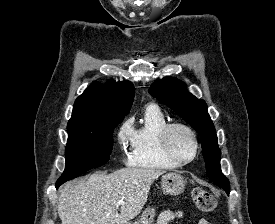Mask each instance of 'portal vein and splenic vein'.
<instances>
[{"mask_svg":"<svg viewBox=\"0 0 275 224\" xmlns=\"http://www.w3.org/2000/svg\"><path fill=\"white\" fill-rule=\"evenodd\" d=\"M123 203H124V202H123V201H121V200H120V201H118V202H117V207H119V206H120L121 204H123Z\"/></svg>","mask_w":275,"mask_h":224,"instance_id":"portal-vein-and-splenic-vein-1","label":"portal vein and splenic vein"}]
</instances>
